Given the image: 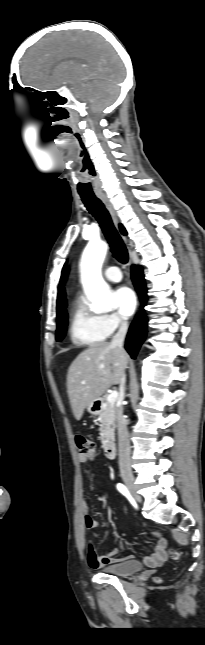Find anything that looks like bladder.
I'll return each mask as SVG.
<instances>
[{"label": "bladder", "mask_w": 205, "mask_h": 645, "mask_svg": "<svg viewBox=\"0 0 205 645\" xmlns=\"http://www.w3.org/2000/svg\"><path fill=\"white\" fill-rule=\"evenodd\" d=\"M143 565L138 560H122L117 563L109 564L102 567V571L115 576H131L140 572Z\"/></svg>", "instance_id": "obj_1"}]
</instances>
